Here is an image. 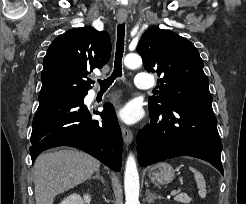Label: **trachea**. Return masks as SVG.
<instances>
[{
  "mask_svg": "<svg viewBox=\"0 0 246 204\" xmlns=\"http://www.w3.org/2000/svg\"><path fill=\"white\" fill-rule=\"evenodd\" d=\"M125 24L117 27V44L114 62V70L110 77L104 80H98L101 89H108L117 77L122 76V57L124 52Z\"/></svg>",
  "mask_w": 246,
  "mask_h": 204,
  "instance_id": "trachea-1",
  "label": "trachea"
}]
</instances>
